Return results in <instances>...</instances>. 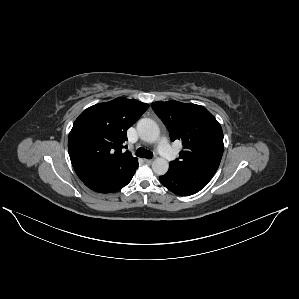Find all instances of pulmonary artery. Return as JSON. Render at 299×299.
I'll use <instances>...</instances> for the list:
<instances>
[{
  "label": "pulmonary artery",
  "instance_id": "e3ab8cb5",
  "mask_svg": "<svg viewBox=\"0 0 299 299\" xmlns=\"http://www.w3.org/2000/svg\"><path fill=\"white\" fill-rule=\"evenodd\" d=\"M157 150L159 154L165 158L168 159L172 155V150L170 146L167 143V140L165 138L161 139L160 142L158 143Z\"/></svg>",
  "mask_w": 299,
  "mask_h": 299
}]
</instances>
